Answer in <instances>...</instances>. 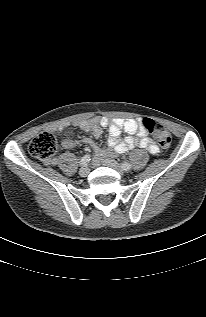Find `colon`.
Segmentation results:
<instances>
[{"label":"colon","mask_w":206,"mask_h":317,"mask_svg":"<svg viewBox=\"0 0 206 317\" xmlns=\"http://www.w3.org/2000/svg\"><path fill=\"white\" fill-rule=\"evenodd\" d=\"M142 124L146 132L153 135L161 146H169L171 136L164 126L149 118L143 119ZM57 148L58 143L55 136L47 131L39 133L28 145L29 153L44 161L50 160L55 155Z\"/></svg>","instance_id":"obj_1"}]
</instances>
